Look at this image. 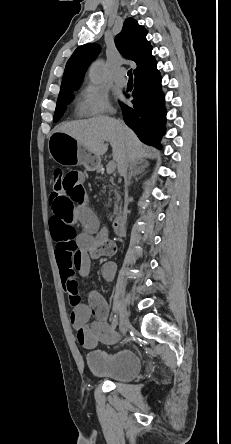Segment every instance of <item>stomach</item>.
Returning <instances> with one entry per match:
<instances>
[{
  "label": "stomach",
  "instance_id": "0dacf381",
  "mask_svg": "<svg viewBox=\"0 0 231 444\" xmlns=\"http://www.w3.org/2000/svg\"><path fill=\"white\" fill-rule=\"evenodd\" d=\"M50 156L63 165L82 164L89 171L97 170L100 157L91 153L72 136L64 132H54L48 142Z\"/></svg>",
  "mask_w": 231,
  "mask_h": 444
}]
</instances>
